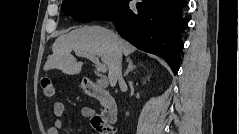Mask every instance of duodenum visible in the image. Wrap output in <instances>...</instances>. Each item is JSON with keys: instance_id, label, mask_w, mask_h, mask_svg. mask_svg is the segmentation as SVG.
Returning a JSON list of instances; mask_svg holds the SVG:
<instances>
[{"instance_id": "obj_1", "label": "duodenum", "mask_w": 239, "mask_h": 134, "mask_svg": "<svg viewBox=\"0 0 239 134\" xmlns=\"http://www.w3.org/2000/svg\"><path fill=\"white\" fill-rule=\"evenodd\" d=\"M87 94L96 98L102 107V117L107 123H115L117 121V106L109 92L101 88L92 79H86Z\"/></svg>"}]
</instances>
